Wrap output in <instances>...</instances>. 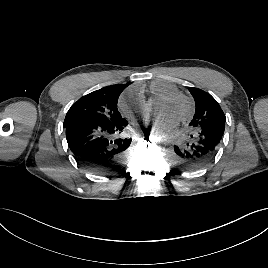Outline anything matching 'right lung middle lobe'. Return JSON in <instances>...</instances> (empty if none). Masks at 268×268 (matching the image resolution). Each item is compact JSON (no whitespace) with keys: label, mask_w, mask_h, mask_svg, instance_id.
<instances>
[{"label":"right lung middle lobe","mask_w":268,"mask_h":268,"mask_svg":"<svg viewBox=\"0 0 268 268\" xmlns=\"http://www.w3.org/2000/svg\"><path fill=\"white\" fill-rule=\"evenodd\" d=\"M123 89L111 85L81 97L67 112L64 127L78 120L102 124H112L121 120L117 102Z\"/></svg>","instance_id":"dd1d6c3e"}]
</instances>
